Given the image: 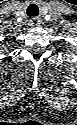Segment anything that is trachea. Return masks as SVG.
<instances>
[{"mask_svg": "<svg viewBox=\"0 0 77 125\" xmlns=\"http://www.w3.org/2000/svg\"><path fill=\"white\" fill-rule=\"evenodd\" d=\"M31 6H35V5H34V4H31V5L29 6V8H30ZM29 8H28V16H32V15H31V12H30V10H29Z\"/></svg>", "mask_w": 77, "mask_h": 125, "instance_id": "trachea-1", "label": "trachea"}]
</instances>
